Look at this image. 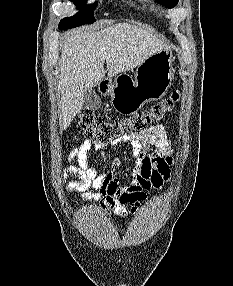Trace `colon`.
I'll return each instance as SVG.
<instances>
[{
	"label": "colon",
	"mask_w": 233,
	"mask_h": 286,
	"mask_svg": "<svg viewBox=\"0 0 233 286\" xmlns=\"http://www.w3.org/2000/svg\"><path fill=\"white\" fill-rule=\"evenodd\" d=\"M178 100L179 92L173 91L168 98L152 105L141 113H137L129 118L112 120H107L90 109H83L78 116L79 129L85 136L98 143L118 142L124 138L139 134L145 126L151 123L163 120L173 110ZM145 197V193H138L132 199L131 208L135 210Z\"/></svg>",
	"instance_id": "obj_1"
}]
</instances>
